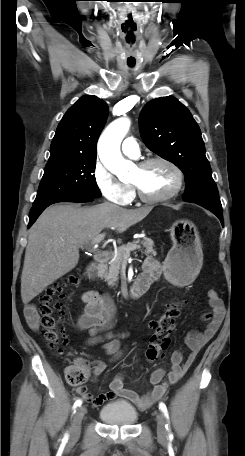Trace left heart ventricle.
I'll return each mask as SVG.
<instances>
[{
    "mask_svg": "<svg viewBox=\"0 0 245 456\" xmlns=\"http://www.w3.org/2000/svg\"><path fill=\"white\" fill-rule=\"evenodd\" d=\"M131 182L149 196H162L175 186L176 176L167 165L154 163L143 169L136 167Z\"/></svg>",
    "mask_w": 245,
    "mask_h": 456,
    "instance_id": "left-heart-ventricle-1",
    "label": "left heart ventricle"
}]
</instances>
